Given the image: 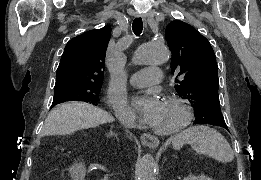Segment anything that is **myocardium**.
I'll return each mask as SVG.
<instances>
[{
    "mask_svg": "<svg viewBox=\"0 0 261 180\" xmlns=\"http://www.w3.org/2000/svg\"><path fill=\"white\" fill-rule=\"evenodd\" d=\"M166 99L179 104L181 106L182 113L178 123L172 130L157 131L152 129L150 125H148V132L158 139H174L178 137L185 131L191 119L190 104L183 96L171 92L167 94Z\"/></svg>",
    "mask_w": 261,
    "mask_h": 180,
    "instance_id": "1",
    "label": "myocardium"
}]
</instances>
